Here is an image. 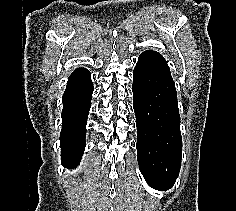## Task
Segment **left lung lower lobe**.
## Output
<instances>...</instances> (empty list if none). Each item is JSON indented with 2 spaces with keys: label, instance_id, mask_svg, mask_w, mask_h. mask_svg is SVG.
Here are the masks:
<instances>
[{
  "label": "left lung lower lobe",
  "instance_id": "obj_1",
  "mask_svg": "<svg viewBox=\"0 0 236 211\" xmlns=\"http://www.w3.org/2000/svg\"><path fill=\"white\" fill-rule=\"evenodd\" d=\"M133 108L137 126V159L148 184L171 188L179 175L182 139L174 81L158 52L145 51L133 71Z\"/></svg>",
  "mask_w": 236,
  "mask_h": 211
}]
</instances>
